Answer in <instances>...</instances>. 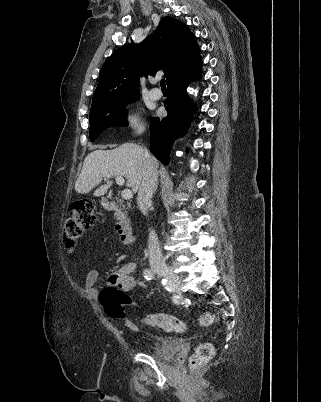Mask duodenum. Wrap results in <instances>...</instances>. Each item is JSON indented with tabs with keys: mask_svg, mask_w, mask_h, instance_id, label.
I'll return each instance as SVG.
<instances>
[{
	"mask_svg": "<svg viewBox=\"0 0 321 402\" xmlns=\"http://www.w3.org/2000/svg\"><path fill=\"white\" fill-rule=\"evenodd\" d=\"M102 206L108 211H116L119 210V204L116 200H110L107 198H103L101 200ZM115 229L120 240L123 243H128L133 234V228L129 222L124 219H120L116 222Z\"/></svg>",
	"mask_w": 321,
	"mask_h": 402,
	"instance_id": "obj_1",
	"label": "duodenum"
}]
</instances>
